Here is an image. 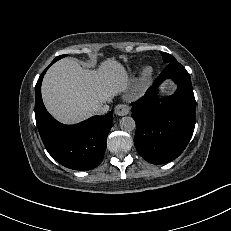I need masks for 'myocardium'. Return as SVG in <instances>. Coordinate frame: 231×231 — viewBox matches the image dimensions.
I'll use <instances>...</instances> for the list:
<instances>
[{
  "label": "myocardium",
  "mask_w": 231,
  "mask_h": 231,
  "mask_svg": "<svg viewBox=\"0 0 231 231\" xmlns=\"http://www.w3.org/2000/svg\"><path fill=\"white\" fill-rule=\"evenodd\" d=\"M153 75V69L151 67H145L141 74L142 81H148Z\"/></svg>",
  "instance_id": "f54148a6"
}]
</instances>
